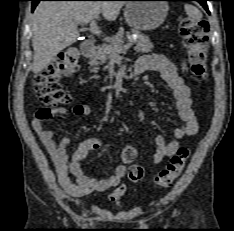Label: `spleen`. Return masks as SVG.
I'll list each match as a JSON object with an SVG mask.
<instances>
[{"instance_id":"3e777b00","label":"spleen","mask_w":234,"mask_h":231,"mask_svg":"<svg viewBox=\"0 0 234 231\" xmlns=\"http://www.w3.org/2000/svg\"><path fill=\"white\" fill-rule=\"evenodd\" d=\"M184 9L186 14L195 20H200L202 18V13L193 5L185 4Z\"/></svg>"}]
</instances>
